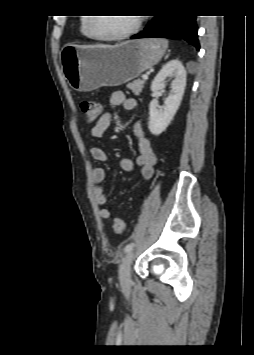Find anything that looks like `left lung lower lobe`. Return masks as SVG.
I'll return each mask as SVG.
<instances>
[{"label": "left lung lower lobe", "mask_w": 254, "mask_h": 355, "mask_svg": "<svg viewBox=\"0 0 254 355\" xmlns=\"http://www.w3.org/2000/svg\"><path fill=\"white\" fill-rule=\"evenodd\" d=\"M196 15H155L145 30L133 35L139 38H182L199 50Z\"/></svg>", "instance_id": "left-lung-lower-lobe-1"}]
</instances>
